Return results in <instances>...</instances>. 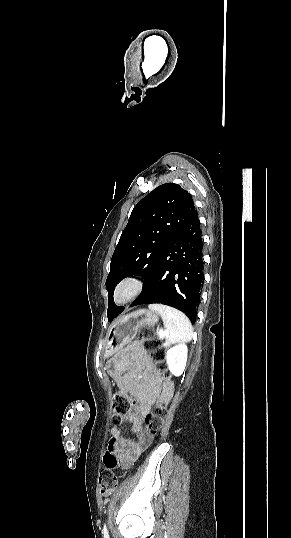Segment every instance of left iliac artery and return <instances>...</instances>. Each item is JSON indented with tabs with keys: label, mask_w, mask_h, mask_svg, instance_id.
<instances>
[{
	"label": "left iliac artery",
	"mask_w": 291,
	"mask_h": 538,
	"mask_svg": "<svg viewBox=\"0 0 291 538\" xmlns=\"http://www.w3.org/2000/svg\"><path fill=\"white\" fill-rule=\"evenodd\" d=\"M103 534H104V538H109L108 530H107L106 525H104V527H103Z\"/></svg>",
	"instance_id": "44dca946"
}]
</instances>
